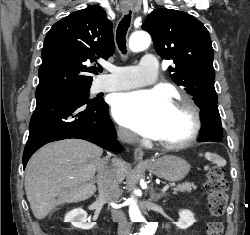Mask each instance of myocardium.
Wrapping results in <instances>:
<instances>
[{"mask_svg":"<svg viewBox=\"0 0 250 235\" xmlns=\"http://www.w3.org/2000/svg\"><path fill=\"white\" fill-rule=\"evenodd\" d=\"M172 107L185 110L190 115L192 121L191 129L189 133L182 139L168 142L156 139L155 143L165 149H179L187 147L193 144L199 137L202 129L201 112L198 106L190 98H180L173 103Z\"/></svg>","mask_w":250,"mask_h":235,"instance_id":"obj_1","label":"myocardium"}]
</instances>
